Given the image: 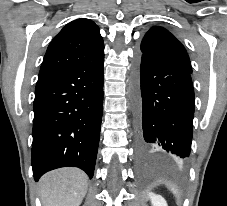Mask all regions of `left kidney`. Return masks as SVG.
Returning a JSON list of instances; mask_svg holds the SVG:
<instances>
[{"instance_id": "obj_1", "label": "left kidney", "mask_w": 227, "mask_h": 206, "mask_svg": "<svg viewBox=\"0 0 227 206\" xmlns=\"http://www.w3.org/2000/svg\"><path fill=\"white\" fill-rule=\"evenodd\" d=\"M149 198L151 199L152 206H168L165 199L160 195L149 193Z\"/></svg>"}]
</instances>
